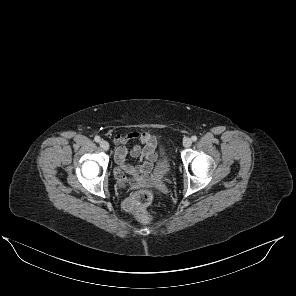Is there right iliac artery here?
Instances as JSON below:
<instances>
[{
    "mask_svg": "<svg viewBox=\"0 0 296 296\" xmlns=\"http://www.w3.org/2000/svg\"><path fill=\"white\" fill-rule=\"evenodd\" d=\"M94 140H95L96 142H100L101 139H100L99 136H95Z\"/></svg>",
    "mask_w": 296,
    "mask_h": 296,
    "instance_id": "1",
    "label": "right iliac artery"
}]
</instances>
